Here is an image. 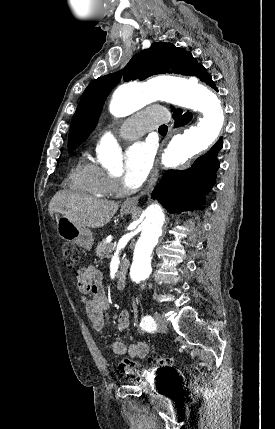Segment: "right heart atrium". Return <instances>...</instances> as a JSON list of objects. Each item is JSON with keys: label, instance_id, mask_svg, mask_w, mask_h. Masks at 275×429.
Listing matches in <instances>:
<instances>
[{"label": "right heart atrium", "instance_id": "1", "mask_svg": "<svg viewBox=\"0 0 275 429\" xmlns=\"http://www.w3.org/2000/svg\"><path fill=\"white\" fill-rule=\"evenodd\" d=\"M110 185H111L112 190L118 189V186H119L118 182L114 178H111V177H110Z\"/></svg>", "mask_w": 275, "mask_h": 429}]
</instances>
